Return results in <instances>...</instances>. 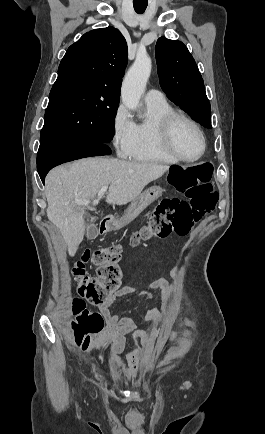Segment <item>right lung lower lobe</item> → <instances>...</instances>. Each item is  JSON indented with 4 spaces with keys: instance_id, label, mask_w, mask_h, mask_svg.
I'll return each instance as SVG.
<instances>
[{
    "instance_id": "98d812e1",
    "label": "right lung lower lobe",
    "mask_w": 265,
    "mask_h": 434,
    "mask_svg": "<svg viewBox=\"0 0 265 434\" xmlns=\"http://www.w3.org/2000/svg\"><path fill=\"white\" fill-rule=\"evenodd\" d=\"M110 148L99 142H74L57 137L40 139L37 170L45 183V176L53 167L80 158L110 154Z\"/></svg>"
}]
</instances>
